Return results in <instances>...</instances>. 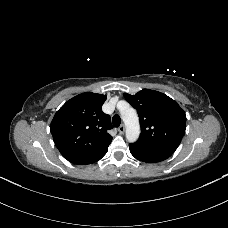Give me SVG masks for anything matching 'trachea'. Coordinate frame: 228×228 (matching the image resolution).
<instances>
[{
	"label": "trachea",
	"instance_id": "3493384b",
	"mask_svg": "<svg viewBox=\"0 0 228 228\" xmlns=\"http://www.w3.org/2000/svg\"><path fill=\"white\" fill-rule=\"evenodd\" d=\"M112 123L115 127H118L121 123V119L119 115H114L112 118Z\"/></svg>",
	"mask_w": 228,
	"mask_h": 228
}]
</instances>
